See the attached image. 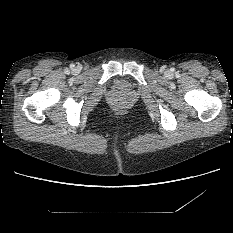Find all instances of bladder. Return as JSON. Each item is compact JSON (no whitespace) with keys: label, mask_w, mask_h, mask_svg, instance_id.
<instances>
[{"label":"bladder","mask_w":233,"mask_h":233,"mask_svg":"<svg viewBox=\"0 0 233 233\" xmlns=\"http://www.w3.org/2000/svg\"><path fill=\"white\" fill-rule=\"evenodd\" d=\"M125 86H126V80L124 78L119 77L114 80L115 88H123Z\"/></svg>","instance_id":"bladder-1"}]
</instances>
